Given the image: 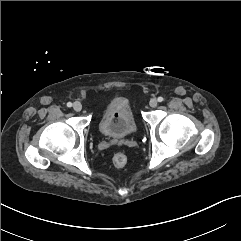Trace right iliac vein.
Wrapping results in <instances>:
<instances>
[{
    "instance_id": "right-iliac-vein-1",
    "label": "right iliac vein",
    "mask_w": 241,
    "mask_h": 241,
    "mask_svg": "<svg viewBox=\"0 0 241 241\" xmlns=\"http://www.w3.org/2000/svg\"><path fill=\"white\" fill-rule=\"evenodd\" d=\"M73 109H74L76 112H80L81 109H82L81 103H80V102H75V103L73 104Z\"/></svg>"
}]
</instances>
